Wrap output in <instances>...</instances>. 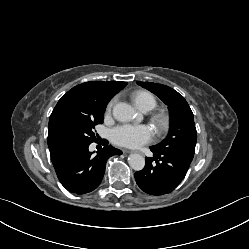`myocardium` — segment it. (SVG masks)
I'll list each match as a JSON object with an SVG mask.
<instances>
[{
    "instance_id": "1",
    "label": "myocardium",
    "mask_w": 249,
    "mask_h": 249,
    "mask_svg": "<svg viewBox=\"0 0 249 249\" xmlns=\"http://www.w3.org/2000/svg\"><path fill=\"white\" fill-rule=\"evenodd\" d=\"M154 122L160 131H164L169 125V118L166 114L159 113L154 116Z\"/></svg>"
}]
</instances>
